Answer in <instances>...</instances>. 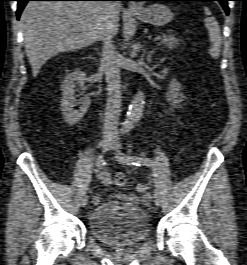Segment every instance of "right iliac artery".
<instances>
[{
  "label": "right iliac artery",
  "instance_id": "1",
  "mask_svg": "<svg viewBox=\"0 0 247 265\" xmlns=\"http://www.w3.org/2000/svg\"><path fill=\"white\" fill-rule=\"evenodd\" d=\"M106 164V161L105 159L103 158L102 155H100L98 158H97V161H96V166L98 167V169H102ZM100 202L99 198L97 197H93V200H92V204L93 205H97L98 203Z\"/></svg>",
  "mask_w": 247,
  "mask_h": 265
}]
</instances>
